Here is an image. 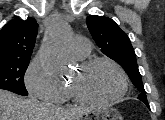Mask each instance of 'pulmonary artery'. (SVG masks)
Masks as SVG:
<instances>
[{"mask_svg": "<svg viewBox=\"0 0 165 120\" xmlns=\"http://www.w3.org/2000/svg\"><path fill=\"white\" fill-rule=\"evenodd\" d=\"M67 51L75 59H83L90 52V44L85 38L76 36L68 43Z\"/></svg>", "mask_w": 165, "mask_h": 120, "instance_id": "1", "label": "pulmonary artery"}]
</instances>
